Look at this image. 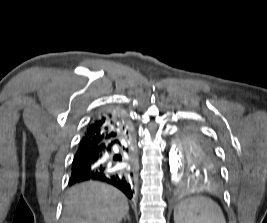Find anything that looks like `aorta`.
<instances>
[{
	"mask_svg": "<svg viewBox=\"0 0 267 223\" xmlns=\"http://www.w3.org/2000/svg\"><path fill=\"white\" fill-rule=\"evenodd\" d=\"M169 167L171 173V179L174 182L180 177L182 171V155L180 152V147L176 144L172 145L169 152Z\"/></svg>",
	"mask_w": 267,
	"mask_h": 223,
	"instance_id": "aorta-1",
	"label": "aorta"
}]
</instances>
